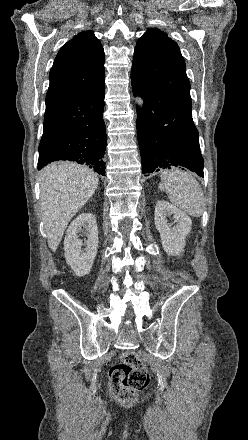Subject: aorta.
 <instances>
[{"label":"aorta","mask_w":248,"mask_h":440,"mask_svg":"<svg viewBox=\"0 0 248 440\" xmlns=\"http://www.w3.org/2000/svg\"><path fill=\"white\" fill-rule=\"evenodd\" d=\"M135 101H136L137 105L139 106V108L142 109V108H143L144 101H143V99L141 98V96L137 95L136 98H135Z\"/></svg>","instance_id":"762f6f07"}]
</instances>
